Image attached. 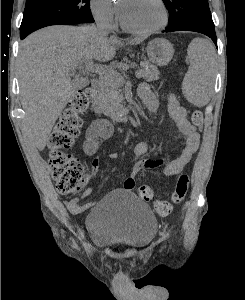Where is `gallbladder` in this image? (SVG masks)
I'll use <instances>...</instances> for the list:
<instances>
[{"label": "gallbladder", "mask_w": 245, "mask_h": 300, "mask_svg": "<svg viewBox=\"0 0 245 300\" xmlns=\"http://www.w3.org/2000/svg\"><path fill=\"white\" fill-rule=\"evenodd\" d=\"M86 83H87L86 79H83V78L82 79H74L72 81V84H73V87L75 90L82 89L83 87L86 86Z\"/></svg>", "instance_id": "obj_1"}]
</instances>
